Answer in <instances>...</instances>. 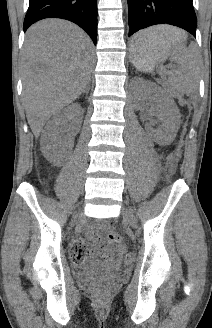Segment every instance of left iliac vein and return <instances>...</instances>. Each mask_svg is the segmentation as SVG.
<instances>
[{"instance_id": "1", "label": "left iliac vein", "mask_w": 212, "mask_h": 328, "mask_svg": "<svg viewBox=\"0 0 212 328\" xmlns=\"http://www.w3.org/2000/svg\"><path fill=\"white\" fill-rule=\"evenodd\" d=\"M123 217L132 227H137L136 217L129 208H123L122 210Z\"/></svg>"}]
</instances>
